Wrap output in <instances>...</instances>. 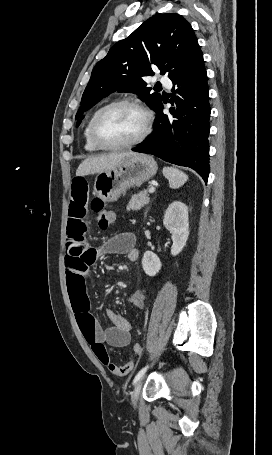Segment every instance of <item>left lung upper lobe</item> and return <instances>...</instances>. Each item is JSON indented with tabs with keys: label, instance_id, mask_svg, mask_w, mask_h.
I'll return each instance as SVG.
<instances>
[{
	"label": "left lung upper lobe",
	"instance_id": "5c2ea615",
	"mask_svg": "<svg viewBox=\"0 0 272 455\" xmlns=\"http://www.w3.org/2000/svg\"><path fill=\"white\" fill-rule=\"evenodd\" d=\"M202 56L191 25L179 14H160L145 21L129 37L117 42L94 67L76 119L103 97L119 91L139 95L151 108L162 97L142 79L152 66L173 76ZM81 123L78 120L77 125Z\"/></svg>",
	"mask_w": 272,
	"mask_h": 455
}]
</instances>
